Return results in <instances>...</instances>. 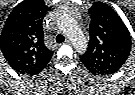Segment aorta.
<instances>
[{
  "label": "aorta",
  "instance_id": "762f6f07",
  "mask_svg": "<svg viewBox=\"0 0 135 95\" xmlns=\"http://www.w3.org/2000/svg\"><path fill=\"white\" fill-rule=\"evenodd\" d=\"M69 36L73 42V46L77 51H84L87 46V40L80 29L74 28V30L69 31Z\"/></svg>",
  "mask_w": 135,
  "mask_h": 95
}]
</instances>
